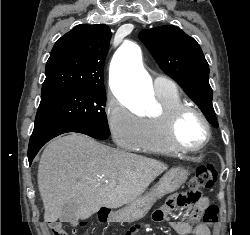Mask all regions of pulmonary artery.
I'll return each instance as SVG.
<instances>
[{
  "label": "pulmonary artery",
  "mask_w": 250,
  "mask_h": 235,
  "mask_svg": "<svg viewBox=\"0 0 250 235\" xmlns=\"http://www.w3.org/2000/svg\"><path fill=\"white\" fill-rule=\"evenodd\" d=\"M154 90L156 92H172L176 90V86L168 78L158 76L154 78Z\"/></svg>",
  "instance_id": "e3ab8cb5"
}]
</instances>
